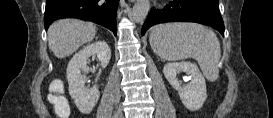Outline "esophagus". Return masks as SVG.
I'll use <instances>...</instances> for the list:
<instances>
[{
    "mask_svg": "<svg viewBox=\"0 0 273 118\" xmlns=\"http://www.w3.org/2000/svg\"><path fill=\"white\" fill-rule=\"evenodd\" d=\"M131 2H134L135 0H130Z\"/></svg>",
    "mask_w": 273,
    "mask_h": 118,
    "instance_id": "esophagus-1",
    "label": "esophagus"
}]
</instances>
